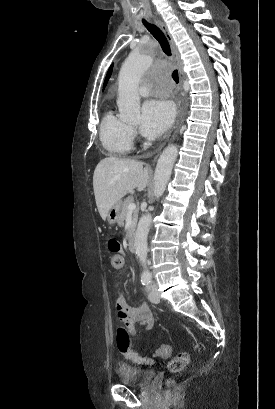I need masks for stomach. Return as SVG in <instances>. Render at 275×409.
<instances>
[{
	"instance_id": "obj_1",
	"label": "stomach",
	"mask_w": 275,
	"mask_h": 409,
	"mask_svg": "<svg viewBox=\"0 0 275 409\" xmlns=\"http://www.w3.org/2000/svg\"><path fill=\"white\" fill-rule=\"evenodd\" d=\"M121 213L122 200H118V202H115V205L109 209V213H107V221L109 225H115V223H118Z\"/></svg>"
}]
</instances>
